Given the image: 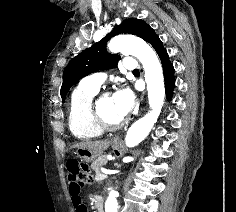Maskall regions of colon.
<instances>
[{"label": "colon", "mask_w": 236, "mask_h": 212, "mask_svg": "<svg viewBox=\"0 0 236 212\" xmlns=\"http://www.w3.org/2000/svg\"><path fill=\"white\" fill-rule=\"evenodd\" d=\"M68 175H76L77 179L80 180L81 185H88L91 180L92 176L88 170V167L78 161V160H70L67 163Z\"/></svg>", "instance_id": "1"}]
</instances>
